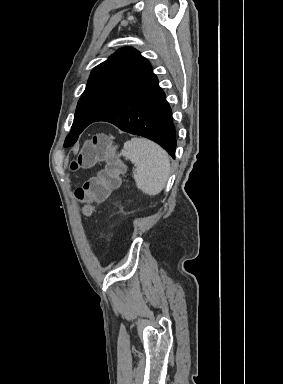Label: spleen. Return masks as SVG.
<instances>
[{"mask_svg": "<svg viewBox=\"0 0 283 384\" xmlns=\"http://www.w3.org/2000/svg\"><path fill=\"white\" fill-rule=\"evenodd\" d=\"M121 156L134 164L133 178L138 190L148 196L162 192L171 172L169 156L163 148L145 138H132L125 142Z\"/></svg>", "mask_w": 283, "mask_h": 384, "instance_id": "spleen-1", "label": "spleen"}]
</instances>
